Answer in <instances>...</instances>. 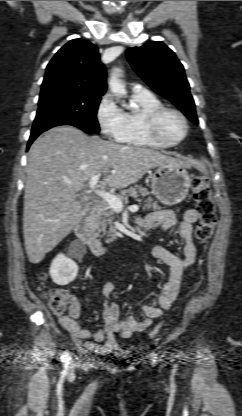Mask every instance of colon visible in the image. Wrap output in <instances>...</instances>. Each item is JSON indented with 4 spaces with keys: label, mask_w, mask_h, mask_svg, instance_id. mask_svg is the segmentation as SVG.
I'll use <instances>...</instances> for the list:
<instances>
[{
    "label": "colon",
    "mask_w": 242,
    "mask_h": 416,
    "mask_svg": "<svg viewBox=\"0 0 242 416\" xmlns=\"http://www.w3.org/2000/svg\"><path fill=\"white\" fill-rule=\"evenodd\" d=\"M193 197L196 202V210L199 215V221L195 228V237L199 242H206L217 224V211L212 198L208 178L196 176L192 179ZM41 278L44 280L45 275ZM45 288V295L49 300L50 307L56 315H61L67 304L70 303V297L64 290H49ZM160 332V327L153 328L149 336L155 338Z\"/></svg>",
    "instance_id": "1"
}]
</instances>
